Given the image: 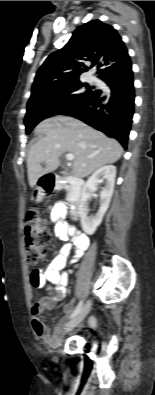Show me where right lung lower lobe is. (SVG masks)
<instances>
[{"label": "right lung lower lobe", "instance_id": "1", "mask_svg": "<svg viewBox=\"0 0 155 395\" xmlns=\"http://www.w3.org/2000/svg\"><path fill=\"white\" fill-rule=\"evenodd\" d=\"M101 79L110 87V93L94 91L61 114L78 118L110 137L126 149L134 114V76L132 64L110 71Z\"/></svg>", "mask_w": 155, "mask_h": 395}]
</instances>
